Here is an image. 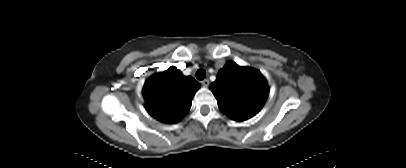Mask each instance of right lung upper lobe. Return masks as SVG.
<instances>
[{
	"label": "right lung upper lobe",
	"mask_w": 406,
	"mask_h": 168,
	"mask_svg": "<svg viewBox=\"0 0 406 168\" xmlns=\"http://www.w3.org/2000/svg\"><path fill=\"white\" fill-rule=\"evenodd\" d=\"M199 88L200 84L194 78L183 76L172 66L146 81L142 91L146 110L161 122H178L189 111Z\"/></svg>",
	"instance_id": "cb5924a9"
}]
</instances>
